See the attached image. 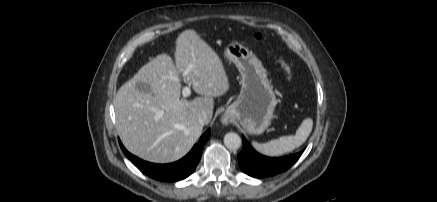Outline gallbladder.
Segmentation results:
<instances>
[{"label": "gallbladder", "mask_w": 437, "mask_h": 202, "mask_svg": "<svg viewBox=\"0 0 437 202\" xmlns=\"http://www.w3.org/2000/svg\"><path fill=\"white\" fill-rule=\"evenodd\" d=\"M136 89L140 92H143V93H150L151 92L150 85L143 83V82L136 83Z\"/></svg>", "instance_id": "bac80fb5"}]
</instances>
